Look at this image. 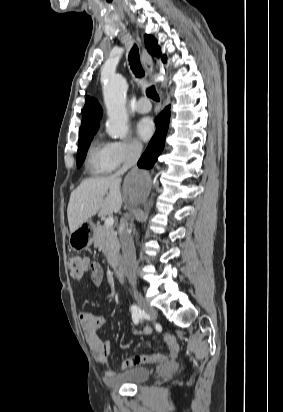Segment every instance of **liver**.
<instances>
[{"label":"liver","instance_id":"1","mask_svg":"<svg viewBox=\"0 0 283 412\" xmlns=\"http://www.w3.org/2000/svg\"><path fill=\"white\" fill-rule=\"evenodd\" d=\"M120 182L114 176L90 178L72 191L67 207L70 233L96 214L103 217L120 211L123 203Z\"/></svg>","mask_w":283,"mask_h":412}]
</instances>
